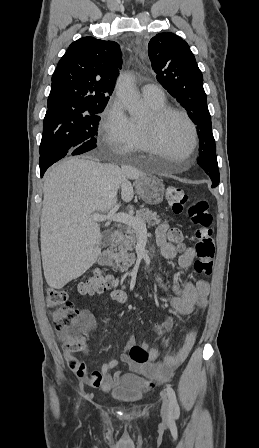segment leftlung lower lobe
<instances>
[{
    "instance_id": "0a47b994",
    "label": "left lung lower lobe",
    "mask_w": 259,
    "mask_h": 448,
    "mask_svg": "<svg viewBox=\"0 0 259 448\" xmlns=\"http://www.w3.org/2000/svg\"><path fill=\"white\" fill-rule=\"evenodd\" d=\"M199 166L210 176L212 188L216 187L220 181L216 148H211L200 153L198 158Z\"/></svg>"
}]
</instances>
